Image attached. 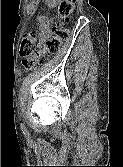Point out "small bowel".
<instances>
[{"label":"small bowel","mask_w":123,"mask_h":167,"mask_svg":"<svg viewBox=\"0 0 123 167\" xmlns=\"http://www.w3.org/2000/svg\"><path fill=\"white\" fill-rule=\"evenodd\" d=\"M53 1V0H52ZM39 23V47H42L43 43L51 36L52 34V19L47 15H42L38 18Z\"/></svg>","instance_id":"obj_1"}]
</instances>
